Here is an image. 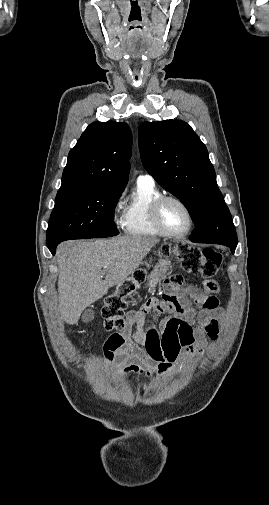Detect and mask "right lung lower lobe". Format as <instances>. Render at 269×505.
Masks as SVG:
<instances>
[{
  "instance_id": "right-lung-lower-lobe-1",
  "label": "right lung lower lobe",
  "mask_w": 269,
  "mask_h": 505,
  "mask_svg": "<svg viewBox=\"0 0 269 505\" xmlns=\"http://www.w3.org/2000/svg\"><path fill=\"white\" fill-rule=\"evenodd\" d=\"M60 243V242H59ZM59 243H54V244H51V245H47L49 250L51 251L52 254H55V251H56V247Z\"/></svg>"
}]
</instances>
